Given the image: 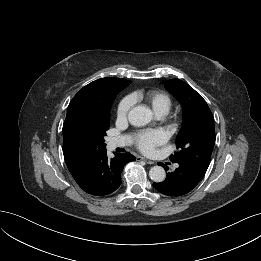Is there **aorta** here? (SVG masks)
<instances>
[{
    "mask_svg": "<svg viewBox=\"0 0 261 261\" xmlns=\"http://www.w3.org/2000/svg\"><path fill=\"white\" fill-rule=\"evenodd\" d=\"M152 111L144 106H136L128 113V120L131 125L136 127L145 126L152 121ZM149 176L154 182H163L166 178V172L161 166H153L149 171Z\"/></svg>",
    "mask_w": 261,
    "mask_h": 261,
    "instance_id": "1",
    "label": "aorta"
}]
</instances>
